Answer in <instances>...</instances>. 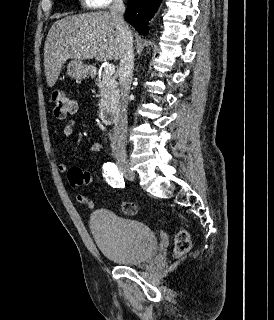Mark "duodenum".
I'll list each match as a JSON object with an SVG mask.
<instances>
[{
	"mask_svg": "<svg viewBox=\"0 0 274 320\" xmlns=\"http://www.w3.org/2000/svg\"><path fill=\"white\" fill-rule=\"evenodd\" d=\"M120 116V112L117 108H103L99 112V118L103 123L113 124Z\"/></svg>",
	"mask_w": 274,
	"mask_h": 320,
	"instance_id": "duodenum-1",
	"label": "duodenum"
}]
</instances>
